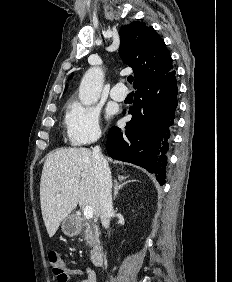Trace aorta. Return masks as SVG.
I'll list each match as a JSON object with an SVG mask.
<instances>
[{
	"instance_id": "obj_1",
	"label": "aorta",
	"mask_w": 232,
	"mask_h": 282,
	"mask_svg": "<svg viewBox=\"0 0 232 282\" xmlns=\"http://www.w3.org/2000/svg\"><path fill=\"white\" fill-rule=\"evenodd\" d=\"M103 81L101 68L91 67L86 71L79 86V99L83 105H91L99 99Z\"/></svg>"
}]
</instances>
